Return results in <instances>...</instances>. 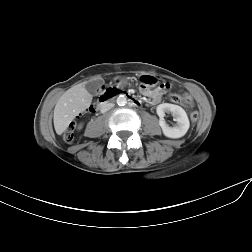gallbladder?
Returning <instances> with one entry per match:
<instances>
[{"instance_id":"obj_1","label":"gallbladder","mask_w":252,"mask_h":252,"mask_svg":"<svg viewBox=\"0 0 252 252\" xmlns=\"http://www.w3.org/2000/svg\"><path fill=\"white\" fill-rule=\"evenodd\" d=\"M101 83L100 80L90 81L85 85V88L90 94L94 95L100 89Z\"/></svg>"}]
</instances>
